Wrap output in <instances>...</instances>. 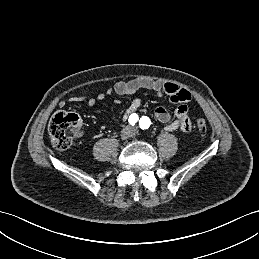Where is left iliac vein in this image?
<instances>
[{
  "instance_id": "4c4485c4",
  "label": "left iliac vein",
  "mask_w": 259,
  "mask_h": 259,
  "mask_svg": "<svg viewBox=\"0 0 259 259\" xmlns=\"http://www.w3.org/2000/svg\"><path fill=\"white\" fill-rule=\"evenodd\" d=\"M132 136H133V137L135 136V132H132Z\"/></svg>"
}]
</instances>
